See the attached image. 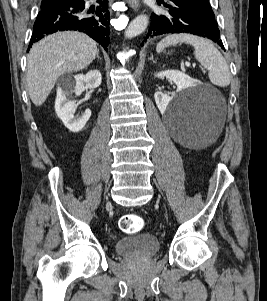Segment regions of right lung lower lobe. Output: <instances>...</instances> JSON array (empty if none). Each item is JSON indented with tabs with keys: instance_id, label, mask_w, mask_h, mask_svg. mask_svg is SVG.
Masks as SVG:
<instances>
[{
	"instance_id": "obj_1",
	"label": "right lung lower lobe",
	"mask_w": 267,
	"mask_h": 301,
	"mask_svg": "<svg viewBox=\"0 0 267 301\" xmlns=\"http://www.w3.org/2000/svg\"><path fill=\"white\" fill-rule=\"evenodd\" d=\"M96 2L98 6L89 8L86 0H61L41 8L33 26L30 46L45 35L74 30L88 34L107 51L110 34L108 0Z\"/></svg>"
}]
</instances>
